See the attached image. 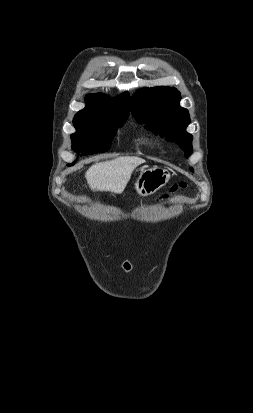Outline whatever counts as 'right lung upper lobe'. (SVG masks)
Masks as SVG:
<instances>
[{
	"mask_svg": "<svg viewBox=\"0 0 253 413\" xmlns=\"http://www.w3.org/2000/svg\"><path fill=\"white\" fill-rule=\"evenodd\" d=\"M85 101L86 107L75 115L73 123L98 122L129 115L130 97L127 92L116 99H110L104 94H89Z\"/></svg>",
	"mask_w": 253,
	"mask_h": 413,
	"instance_id": "obj_1",
	"label": "right lung upper lobe"
}]
</instances>
